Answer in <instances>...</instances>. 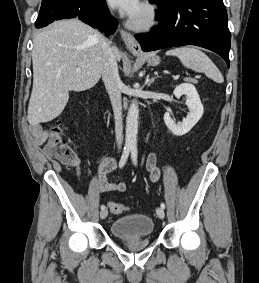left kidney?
I'll list each match as a JSON object with an SVG mask.
<instances>
[{
  "mask_svg": "<svg viewBox=\"0 0 259 283\" xmlns=\"http://www.w3.org/2000/svg\"><path fill=\"white\" fill-rule=\"evenodd\" d=\"M174 95L176 98L185 95L189 113L181 123H175L171 118L170 113L166 112L164 114V122L174 135L182 136L187 134L200 120L203 115V105L195 86L190 83H182L178 85L174 89Z\"/></svg>",
  "mask_w": 259,
  "mask_h": 283,
  "instance_id": "obj_1",
  "label": "left kidney"
}]
</instances>
